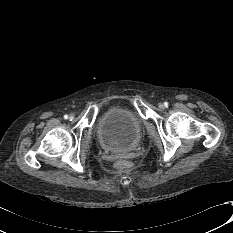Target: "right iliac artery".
Here are the masks:
<instances>
[{"label":"right iliac artery","instance_id":"1","mask_svg":"<svg viewBox=\"0 0 233 233\" xmlns=\"http://www.w3.org/2000/svg\"><path fill=\"white\" fill-rule=\"evenodd\" d=\"M64 119H68V115H64Z\"/></svg>","mask_w":233,"mask_h":233}]
</instances>
